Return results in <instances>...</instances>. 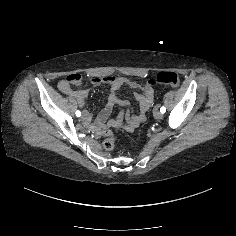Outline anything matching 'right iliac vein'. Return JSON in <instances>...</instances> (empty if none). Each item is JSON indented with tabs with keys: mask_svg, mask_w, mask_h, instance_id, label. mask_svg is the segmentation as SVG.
Here are the masks:
<instances>
[{
	"mask_svg": "<svg viewBox=\"0 0 236 236\" xmlns=\"http://www.w3.org/2000/svg\"><path fill=\"white\" fill-rule=\"evenodd\" d=\"M87 116H88V114H87V113L83 114V115H82V119H86V118H87Z\"/></svg>",
	"mask_w": 236,
	"mask_h": 236,
	"instance_id": "obj_1",
	"label": "right iliac vein"
}]
</instances>
